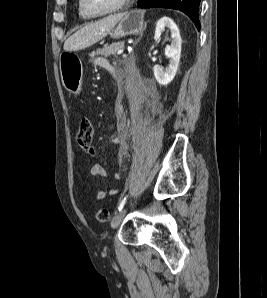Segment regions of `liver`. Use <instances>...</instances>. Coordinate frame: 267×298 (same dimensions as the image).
<instances>
[{"label":"liver","mask_w":267,"mask_h":298,"mask_svg":"<svg viewBox=\"0 0 267 298\" xmlns=\"http://www.w3.org/2000/svg\"><path fill=\"white\" fill-rule=\"evenodd\" d=\"M123 15V13L110 15L85 25L65 41L64 50L78 51L90 47L110 33Z\"/></svg>","instance_id":"liver-1"}]
</instances>
